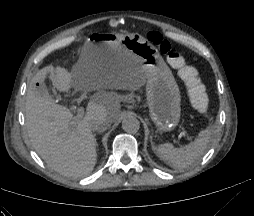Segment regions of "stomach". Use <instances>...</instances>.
Returning a JSON list of instances; mask_svg holds the SVG:
<instances>
[{"label": "stomach", "mask_w": 254, "mask_h": 216, "mask_svg": "<svg viewBox=\"0 0 254 216\" xmlns=\"http://www.w3.org/2000/svg\"><path fill=\"white\" fill-rule=\"evenodd\" d=\"M120 54L144 70L149 116L157 129L160 132L174 129L181 117L180 90L162 56L147 39L139 34H94L85 58L91 67L98 68L114 62Z\"/></svg>", "instance_id": "obj_1"}]
</instances>
